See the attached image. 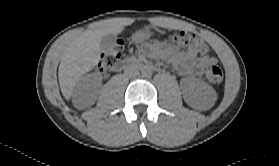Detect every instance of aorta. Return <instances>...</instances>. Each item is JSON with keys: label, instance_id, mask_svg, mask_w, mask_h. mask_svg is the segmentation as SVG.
Instances as JSON below:
<instances>
[{"label": "aorta", "instance_id": "1", "mask_svg": "<svg viewBox=\"0 0 279 166\" xmlns=\"http://www.w3.org/2000/svg\"><path fill=\"white\" fill-rule=\"evenodd\" d=\"M152 73L153 72H152L151 68H149V67H144L141 70L142 77H144V78H150L152 76Z\"/></svg>", "mask_w": 279, "mask_h": 166}]
</instances>
